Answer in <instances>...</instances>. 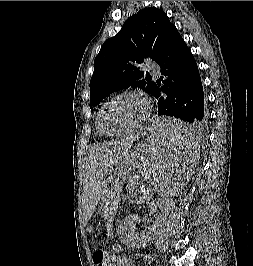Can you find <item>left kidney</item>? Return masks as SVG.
<instances>
[{
    "instance_id": "5707ae66",
    "label": "left kidney",
    "mask_w": 253,
    "mask_h": 266,
    "mask_svg": "<svg viewBox=\"0 0 253 266\" xmlns=\"http://www.w3.org/2000/svg\"><path fill=\"white\" fill-rule=\"evenodd\" d=\"M138 221L137 215L127 216L120 224L118 234L121 241L128 247L140 248L154 237V231L149 229L146 233H136L134 230L135 224Z\"/></svg>"
}]
</instances>
